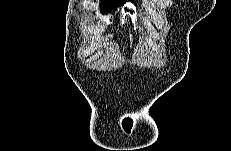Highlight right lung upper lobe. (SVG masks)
Segmentation results:
<instances>
[{
	"label": "right lung upper lobe",
	"mask_w": 231,
	"mask_h": 151,
	"mask_svg": "<svg viewBox=\"0 0 231 151\" xmlns=\"http://www.w3.org/2000/svg\"><path fill=\"white\" fill-rule=\"evenodd\" d=\"M109 1H111V2H120V3L126 2V0H109Z\"/></svg>",
	"instance_id": "cb5924a9"
}]
</instances>
